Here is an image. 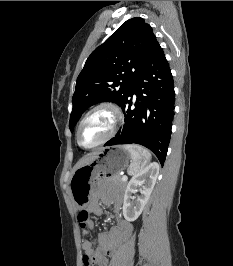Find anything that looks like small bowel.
Here are the masks:
<instances>
[{
  "instance_id": "obj_1",
  "label": "small bowel",
  "mask_w": 233,
  "mask_h": 266,
  "mask_svg": "<svg viewBox=\"0 0 233 266\" xmlns=\"http://www.w3.org/2000/svg\"><path fill=\"white\" fill-rule=\"evenodd\" d=\"M98 199L103 204H113V211L115 214L116 225L113 226L109 232H101L97 236V246L95 242L90 239H85L82 242L84 251L83 263L85 266H107L109 257L115 254L120 244L128 239L132 233V225L122 216V198L120 196H113L107 193L98 194L88 205V212L100 216L102 208ZM94 229V223L89 219L87 227L83 229V234L87 236L90 230ZM86 257L91 258V264L88 265L85 261Z\"/></svg>"
}]
</instances>
